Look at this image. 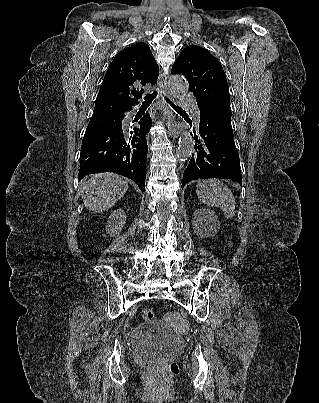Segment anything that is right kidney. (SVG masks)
<instances>
[{
	"instance_id": "right-kidney-1",
	"label": "right kidney",
	"mask_w": 319,
	"mask_h": 403,
	"mask_svg": "<svg viewBox=\"0 0 319 403\" xmlns=\"http://www.w3.org/2000/svg\"><path fill=\"white\" fill-rule=\"evenodd\" d=\"M126 223V214L123 209L114 210L107 221L106 232L110 236H117L120 234L121 230Z\"/></svg>"
}]
</instances>
